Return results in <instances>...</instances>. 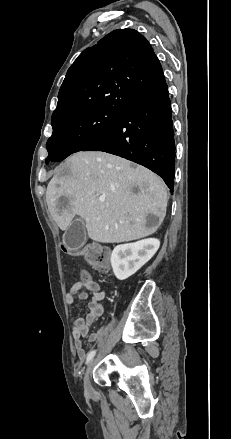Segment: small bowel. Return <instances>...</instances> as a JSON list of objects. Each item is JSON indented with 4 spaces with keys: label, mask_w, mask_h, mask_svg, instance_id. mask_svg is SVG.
I'll use <instances>...</instances> for the list:
<instances>
[{
    "label": "small bowel",
    "mask_w": 231,
    "mask_h": 439,
    "mask_svg": "<svg viewBox=\"0 0 231 439\" xmlns=\"http://www.w3.org/2000/svg\"><path fill=\"white\" fill-rule=\"evenodd\" d=\"M105 294L106 289H102L100 284L90 277L82 282L74 283L67 292L66 301L71 307L75 305L77 298H89V312L87 315L85 317L75 318L72 322L74 346L80 360H83L86 356L85 350L83 349V340L88 337L89 341L94 342L97 341L102 334V331L99 330L89 335V330L104 312L102 300Z\"/></svg>",
    "instance_id": "c3829d8e"
}]
</instances>
